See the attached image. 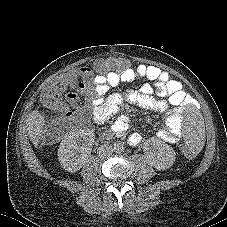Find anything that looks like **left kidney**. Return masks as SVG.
Returning <instances> with one entry per match:
<instances>
[{
    "mask_svg": "<svg viewBox=\"0 0 227 227\" xmlns=\"http://www.w3.org/2000/svg\"><path fill=\"white\" fill-rule=\"evenodd\" d=\"M148 144L151 146L145 148V153L152 166L165 170L173 165L176 157L172 147L156 138L149 140Z\"/></svg>",
    "mask_w": 227,
    "mask_h": 227,
    "instance_id": "left-kidney-1",
    "label": "left kidney"
}]
</instances>
